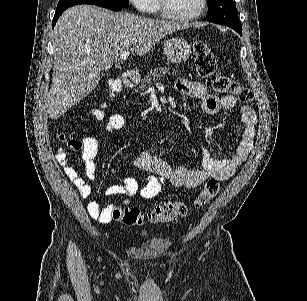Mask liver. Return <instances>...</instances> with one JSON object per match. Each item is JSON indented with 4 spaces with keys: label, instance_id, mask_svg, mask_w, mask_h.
Segmentation results:
<instances>
[{
    "label": "liver",
    "instance_id": "6515ba94",
    "mask_svg": "<svg viewBox=\"0 0 307 301\" xmlns=\"http://www.w3.org/2000/svg\"><path fill=\"white\" fill-rule=\"evenodd\" d=\"M186 24L113 12L93 4H76L58 18L52 34L54 62L48 94L49 118H58L96 88L121 52L134 48L144 56L154 44Z\"/></svg>",
    "mask_w": 307,
    "mask_h": 301
}]
</instances>
